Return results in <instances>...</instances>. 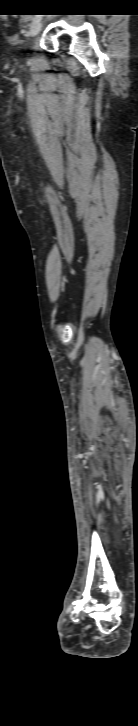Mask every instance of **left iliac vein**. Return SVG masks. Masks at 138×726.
<instances>
[{"instance_id":"obj_1","label":"left iliac vein","mask_w":138,"mask_h":726,"mask_svg":"<svg viewBox=\"0 0 138 726\" xmlns=\"http://www.w3.org/2000/svg\"><path fill=\"white\" fill-rule=\"evenodd\" d=\"M41 27H42L41 20L33 22V24L30 27V30H29V37H35L41 30Z\"/></svg>"}]
</instances>
